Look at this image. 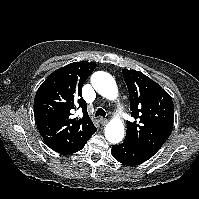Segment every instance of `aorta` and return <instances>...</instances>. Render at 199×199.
<instances>
[{
	"label": "aorta",
	"mask_w": 199,
	"mask_h": 199,
	"mask_svg": "<svg viewBox=\"0 0 199 199\" xmlns=\"http://www.w3.org/2000/svg\"><path fill=\"white\" fill-rule=\"evenodd\" d=\"M91 84L97 93L107 99L114 100L118 96L116 82L107 72H95L91 77ZM124 133V125L119 119L111 120L105 127V137L112 144L122 141Z\"/></svg>",
	"instance_id": "762f6f07"
}]
</instances>
